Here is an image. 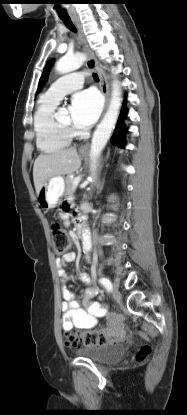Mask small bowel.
Segmentation results:
<instances>
[{"label": "small bowel", "mask_w": 187, "mask_h": 415, "mask_svg": "<svg viewBox=\"0 0 187 415\" xmlns=\"http://www.w3.org/2000/svg\"><path fill=\"white\" fill-rule=\"evenodd\" d=\"M75 259L74 253H66L61 258L56 260L58 272L63 281L69 279V275L64 270L67 263ZM81 280L90 283L89 278L85 274L80 275ZM99 294V288L90 285L82 299L79 301L75 298L72 291L67 288H62L61 295L63 298L61 308L63 311L62 327L64 330H71L73 328L90 330L96 326L97 320L107 316V309L104 305L94 300ZM110 323H115L117 317L109 316Z\"/></svg>", "instance_id": "small-bowel-1"}]
</instances>
